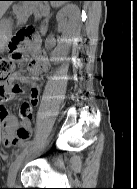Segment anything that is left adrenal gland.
I'll return each instance as SVG.
<instances>
[{
	"label": "left adrenal gland",
	"mask_w": 137,
	"mask_h": 189,
	"mask_svg": "<svg viewBox=\"0 0 137 189\" xmlns=\"http://www.w3.org/2000/svg\"><path fill=\"white\" fill-rule=\"evenodd\" d=\"M50 16L46 18L45 20V23H46V26L48 25V20H49Z\"/></svg>",
	"instance_id": "a2214340"
}]
</instances>
